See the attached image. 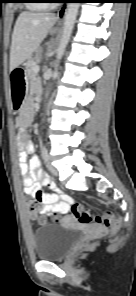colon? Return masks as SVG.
I'll use <instances>...</instances> for the list:
<instances>
[{"label": "colon", "instance_id": "5ec220e1", "mask_svg": "<svg viewBox=\"0 0 136 296\" xmlns=\"http://www.w3.org/2000/svg\"><path fill=\"white\" fill-rule=\"evenodd\" d=\"M40 208V202L36 199H30L26 202V209L28 213L31 216L38 217L41 223H45L46 220L39 216ZM69 211L80 223L84 225L95 223L99 226L113 229H118L120 227L119 221L115 219L111 212L95 215L90 209L77 202H72L70 204ZM54 220H58V217H54Z\"/></svg>", "mask_w": 136, "mask_h": 296}]
</instances>
